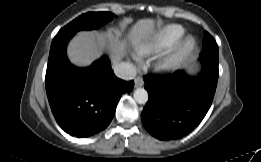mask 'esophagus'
Returning a JSON list of instances; mask_svg holds the SVG:
<instances>
[{
	"mask_svg": "<svg viewBox=\"0 0 261 162\" xmlns=\"http://www.w3.org/2000/svg\"><path fill=\"white\" fill-rule=\"evenodd\" d=\"M135 87H141L144 85V80L142 77L138 76L134 79Z\"/></svg>",
	"mask_w": 261,
	"mask_h": 162,
	"instance_id": "1",
	"label": "esophagus"
}]
</instances>
